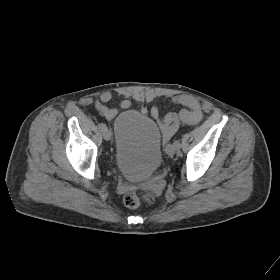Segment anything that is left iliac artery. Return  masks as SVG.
<instances>
[{"label":"left iliac artery","instance_id":"1","mask_svg":"<svg viewBox=\"0 0 280 280\" xmlns=\"http://www.w3.org/2000/svg\"><path fill=\"white\" fill-rule=\"evenodd\" d=\"M173 145L176 146V148H179L180 147V142L178 140H175L173 142Z\"/></svg>","mask_w":280,"mask_h":280}]
</instances>
